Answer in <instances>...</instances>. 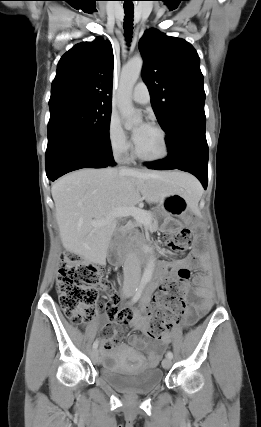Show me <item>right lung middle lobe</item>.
<instances>
[{
    "label": "right lung middle lobe",
    "instance_id": "dd1d6c3e",
    "mask_svg": "<svg viewBox=\"0 0 261 427\" xmlns=\"http://www.w3.org/2000/svg\"><path fill=\"white\" fill-rule=\"evenodd\" d=\"M111 106L68 104L50 109L48 142L74 139L110 143Z\"/></svg>",
    "mask_w": 261,
    "mask_h": 427
}]
</instances>
